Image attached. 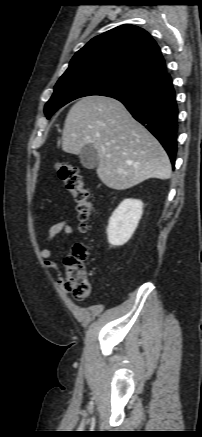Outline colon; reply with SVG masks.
Here are the masks:
<instances>
[{
  "mask_svg": "<svg viewBox=\"0 0 202 437\" xmlns=\"http://www.w3.org/2000/svg\"><path fill=\"white\" fill-rule=\"evenodd\" d=\"M56 172L64 188L71 194L75 204L79 228L86 232L92 216L89 191L85 188L78 168L68 162L56 164ZM88 249L84 244H75L64 261V287L76 299H85L91 293V283L87 275L86 261Z\"/></svg>",
  "mask_w": 202,
  "mask_h": 437,
  "instance_id": "1",
  "label": "colon"
}]
</instances>
